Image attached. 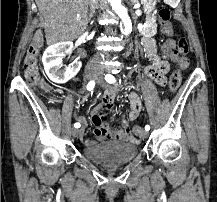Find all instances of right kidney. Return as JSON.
Wrapping results in <instances>:
<instances>
[{
    "label": "right kidney",
    "instance_id": "right-kidney-1",
    "mask_svg": "<svg viewBox=\"0 0 217 202\" xmlns=\"http://www.w3.org/2000/svg\"><path fill=\"white\" fill-rule=\"evenodd\" d=\"M73 48V42H59V44H54V46H49L47 50H45L42 58L44 70L52 80V82H57V84H65L67 80H70V78H73V76H76L79 72V66H75L73 70H70V72H61L60 68H62L63 64V56L69 48Z\"/></svg>",
    "mask_w": 217,
    "mask_h": 202
}]
</instances>
